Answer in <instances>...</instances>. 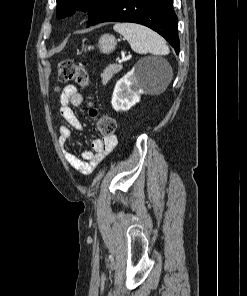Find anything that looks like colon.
I'll return each instance as SVG.
<instances>
[{
  "mask_svg": "<svg viewBox=\"0 0 247 296\" xmlns=\"http://www.w3.org/2000/svg\"><path fill=\"white\" fill-rule=\"evenodd\" d=\"M58 80L61 83L72 82L81 87H87L90 84V78L87 68L80 62L72 60H63L58 66ZM89 115L96 120L97 128L103 138H110L116 130L115 120L103 114L93 104L89 105Z\"/></svg>",
  "mask_w": 247,
  "mask_h": 296,
  "instance_id": "colon-1",
  "label": "colon"
}]
</instances>
